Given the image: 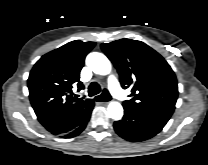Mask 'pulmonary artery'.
Here are the masks:
<instances>
[{"instance_id":"obj_1","label":"pulmonary artery","mask_w":208,"mask_h":165,"mask_svg":"<svg viewBox=\"0 0 208 165\" xmlns=\"http://www.w3.org/2000/svg\"><path fill=\"white\" fill-rule=\"evenodd\" d=\"M108 86L112 94L119 100L123 101L126 98L124 90L120 87L117 79L114 76L108 78Z\"/></svg>"}]
</instances>
